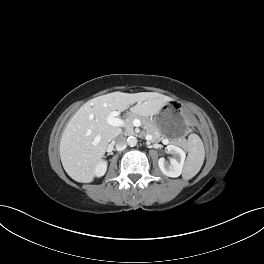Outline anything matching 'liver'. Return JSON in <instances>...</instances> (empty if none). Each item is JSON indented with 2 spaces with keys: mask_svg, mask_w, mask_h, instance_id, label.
I'll return each instance as SVG.
<instances>
[{
  "mask_svg": "<svg viewBox=\"0 0 264 264\" xmlns=\"http://www.w3.org/2000/svg\"><path fill=\"white\" fill-rule=\"evenodd\" d=\"M169 101L170 97L153 92H113L85 103L67 124L60 141V158L66 173L77 182L94 180L95 167L102 161L109 142L122 132L107 122L110 112L124 111L137 103L133 113L152 116Z\"/></svg>",
  "mask_w": 264,
  "mask_h": 264,
  "instance_id": "1",
  "label": "liver"
}]
</instances>
